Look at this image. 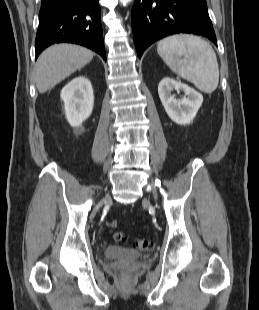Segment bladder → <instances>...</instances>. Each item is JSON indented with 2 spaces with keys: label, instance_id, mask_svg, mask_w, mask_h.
I'll use <instances>...</instances> for the list:
<instances>
[{
  "label": "bladder",
  "instance_id": "obj_1",
  "mask_svg": "<svg viewBox=\"0 0 259 310\" xmlns=\"http://www.w3.org/2000/svg\"><path fill=\"white\" fill-rule=\"evenodd\" d=\"M103 255L110 260H138L143 256L139 252L114 245L107 246L103 251Z\"/></svg>",
  "mask_w": 259,
  "mask_h": 310
}]
</instances>
